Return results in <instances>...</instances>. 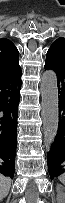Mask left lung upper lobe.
I'll return each instance as SVG.
<instances>
[{"label":"left lung upper lobe","mask_w":65,"mask_h":203,"mask_svg":"<svg viewBox=\"0 0 65 203\" xmlns=\"http://www.w3.org/2000/svg\"><path fill=\"white\" fill-rule=\"evenodd\" d=\"M52 46H59V47H64L65 48V38H58Z\"/></svg>","instance_id":"1"}]
</instances>
